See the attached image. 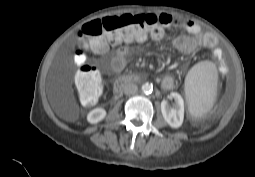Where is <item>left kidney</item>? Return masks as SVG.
<instances>
[{
    "instance_id": "1",
    "label": "left kidney",
    "mask_w": 255,
    "mask_h": 177,
    "mask_svg": "<svg viewBox=\"0 0 255 177\" xmlns=\"http://www.w3.org/2000/svg\"><path fill=\"white\" fill-rule=\"evenodd\" d=\"M170 98L175 101L174 107H169L166 100L161 102V112L164 120L172 127L179 128L184 119V100L180 94L172 92Z\"/></svg>"
}]
</instances>
